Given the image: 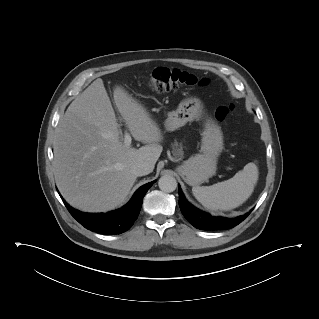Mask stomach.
I'll list each match as a JSON object with an SVG mask.
<instances>
[{
  "instance_id": "1",
  "label": "stomach",
  "mask_w": 319,
  "mask_h": 319,
  "mask_svg": "<svg viewBox=\"0 0 319 319\" xmlns=\"http://www.w3.org/2000/svg\"><path fill=\"white\" fill-rule=\"evenodd\" d=\"M203 114L200 99L188 97L180 102L175 111L168 114L165 121L166 130L174 131L187 122L200 119ZM201 136V153L190 157L177 167L180 176L191 186H198L215 175L217 160L223 150L221 128L211 118L206 119Z\"/></svg>"
}]
</instances>
